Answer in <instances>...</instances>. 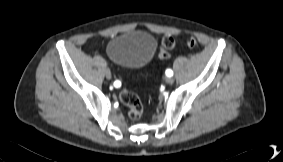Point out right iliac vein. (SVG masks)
<instances>
[{
  "label": "right iliac vein",
  "instance_id": "63e3f726",
  "mask_svg": "<svg viewBox=\"0 0 283 162\" xmlns=\"http://www.w3.org/2000/svg\"><path fill=\"white\" fill-rule=\"evenodd\" d=\"M105 76H106L107 79H111V72H110L109 69L105 70Z\"/></svg>",
  "mask_w": 283,
  "mask_h": 162
}]
</instances>
